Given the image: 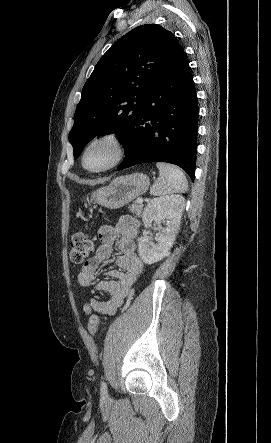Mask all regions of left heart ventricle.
I'll return each mask as SVG.
<instances>
[{
  "mask_svg": "<svg viewBox=\"0 0 271 443\" xmlns=\"http://www.w3.org/2000/svg\"><path fill=\"white\" fill-rule=\"evenodd\" d=\"M114 156L115 147L111 141H98L85 151L83 164L89 170L100 169L110 163Z\"/></svg>",
  "mask_w": 271,
  "mask_h": 443,
  "instance_id": "left-heart-ventricle-1",
  "label": "left heart ventricle"
}]
</instances>
